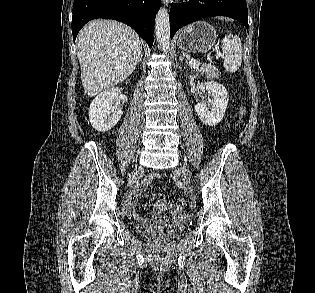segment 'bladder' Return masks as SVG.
<instances>
[{"instance_id":"1","label":"bladder","mask_w":315,"mask_h":293,"mask_svg":"<svg viewBox=\"0 0 315 293\" xmlns=\"http://www.w3.org/2000/svg\"><path fill=\"white\" fill-rule=\"evenodd\" d=\"M134 228L138 234L153 241H167L176 233V229L172 227L148 222H138Z\"/></svg>"}]
</instances>
